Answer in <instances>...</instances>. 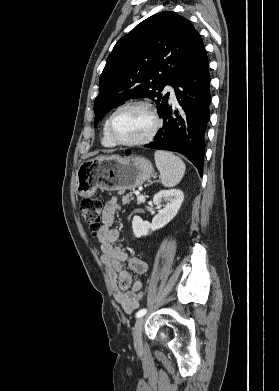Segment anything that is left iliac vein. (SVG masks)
I'll list each match as a JSON object with an SVG mask.
<instances>
[{"instance_id":"obj_1","label":"left iliac vein","mask_w":279,"mask_h":391,"mask_svg":"<svg viewBox=\"0 0 279 391\" xmlns=\"http://www.w3.org/2000/svg\"><path fill=\"white\" fill-rule=\"evenodd\" d=\"M144 317H139L133 328V343L134 347L140 349L142 347V329L144 325Z\"/></svg>"}]
</instances>
